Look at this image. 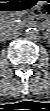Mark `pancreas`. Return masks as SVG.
<instances>
[{
	"instance_id": "pancreas-1",
	"label": "pancreas",
	"mask_w": 50,
	"mask_h": 111,
	"mask_svg": "<svg viewBox=\"0 0 50 111\" xmlns=\"http://www.w3.org/2000/svg\"><path fill=\"white\" fill-rule=\"evenodd\" d=\"M22 23H16L14 19L6 20L2 22V27L3 28H8V27H19Z\"/></svg>"
}]
</instances>
